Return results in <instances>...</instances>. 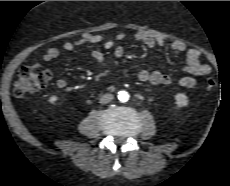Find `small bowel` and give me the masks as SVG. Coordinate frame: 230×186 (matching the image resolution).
Returning <instances> with one entry per match:
<instances>
[{"mask_svg":"<svg viewBox=\"0 0 230 186\" xmlns=\"http://www.w3.org/2000/svg\"><path fill=\"white\" fill-rule=\"evenodd\" d=\"M123 37V34H118L115 38H109L104 35L95 33L86 34L80 40L63 43L62 48L69 51L75 48L77 45L89 43L102 44L105 49H112L115 45V42L122 39ZM135 38L138 41L144 43L150 49L162 47L165 44V40L163 38H158L144 32L136 33ZM171 50L176 53L185 52V65L182 69L187 75L179 80L180 86L184 88H191L196 84L195 76H203L211 73V66L201 62V51L199 49L187 48V45L183 41L177 40L171 44ZM59 55L60 51L58 48L49 47L42 55L41 60L35 61L31 67L38 69L42 62H50L59 57ZM91 55L98 65L101 67L106 65L105 55L101 50L93 49ZM114 55L117 58L122 57L124 55V49L121 46L115 47ZM138 79L141 82H148L152 85H168L171 83V77L168 74H164L157 70H141L138 73ZM55 85L58 88L63 89L67 87V81L65 79H57Z\"/></svg>","mask_w":230,"mask_h":186,"instance_id":"small-bowel-1","label":"small bowel"}]
</instances>
